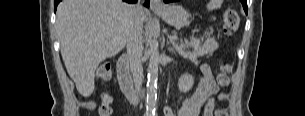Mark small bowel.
<instances>
[{"label":"small bowel","instance_id":"c3829d8e","mask_svg":"<svg viewBox=\"0 0 305 116\" xmlns=\"http://www.w3.org/2000/svg\"><path fill=\"white\" fill-rule=\"evenodd\" d=\"M227 93H219V87L214 80L210 65L204 63L200 66L199 83L194 93L186 98L179 109L174 112L171 108H164L165 116H223V109H216L217 100L224 101Z\"/></svg>","mask_w":305,"mask_h":116}]
</instances>
